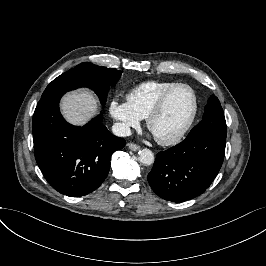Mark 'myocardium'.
<instances>
[{"label":"myocardium","mask_w":266,"mask_h":266,"mask_svg":"<svg viewBox=\"0 0 266 266\" xmlns=\"http://www.w3.org/2000/svg\"><path fill=\"white\" fill-rule=\"evenodd\" d=\"M180 87H186L188 88L194 97V111L193 114L190 118V120L188 121V123L185 125V127L175 136L170 137V138H160L155 136V139L157 140L158 143L163 144V145H174L177 144L178 142H180L185 135L191 130V128L193 127L196 118L198 116L199 113V109H200V103H199V97L198 94L196 92V90L188 83H177L174 86H172L171 88L167 89L157 100V102L154 104V106L150 109L149 113L147 114L146 117V125L147 127L151 130V122L152 120L162 112L168 98L170 97V95L178 88Z\"/></svg>","instance_id":"obj_1"}]
</instances>
